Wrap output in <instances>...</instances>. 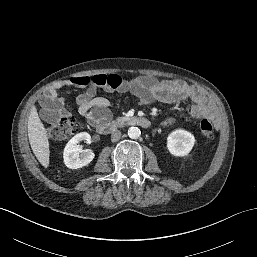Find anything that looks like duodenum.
I'll return each mask as SVG.
<instances>
[{
    "label": "duodenum",
    "instance_id": "duodenum-1",
    "mask_svg": "<svg viewBox=\"0 0 257 257\" xmlns=\"http://www.w3.org/2000/svg\"><path fill=\"white\" fill-rule=\"evenodd\" d=\"M121 125H135L142 128H149L151 123L145 117H129L122 121H105L97 126V132L102 135H107L115 131Z\"/></svg>",
    "mask_w": 257,
    "mask_h": 257
}]
</instances>
